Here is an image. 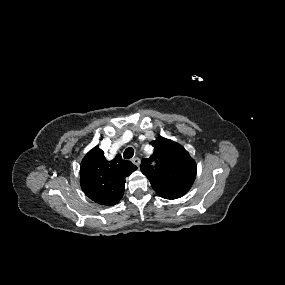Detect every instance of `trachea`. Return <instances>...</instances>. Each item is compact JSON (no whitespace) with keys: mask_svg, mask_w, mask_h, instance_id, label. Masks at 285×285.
I'll return each mask as SVG.
<instances>
[{"mask_svg":"<svg viewBox=\"0 0 285 285\" xmlns=\"http://www.w3.org/2000/svg\"><path fill=\"white\" fill-rule=\"evenodd\" d=\"M133 155H134V149L132 147H128L123 153V157L125 159H130L133 157Z\"/></svg>","mask_w":285,"mask_h":285,"instance_id":"trachea-1","label":"trachea"}]
</instances>
